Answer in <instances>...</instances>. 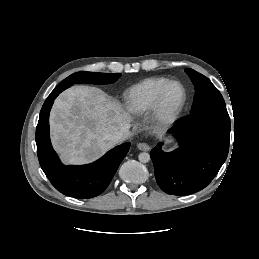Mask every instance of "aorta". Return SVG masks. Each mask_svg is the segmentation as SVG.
Wrapping results in <instances>:
<instances>
[{"label":"aorta","mask_w":259,"mask_h":259,"mask_svg":"<svg viewBox=\"0 0 259 259\" xmlns=\"http://www.w3.org/2000/svg\"><path fill=\"white\" fill-rule=\"evenodd\" d=\"M138 158H139V161L142 163H147L150 161V155L147 152L140 153Z\"/></svg>","instance_id":"obj_1"}]
</instances>
